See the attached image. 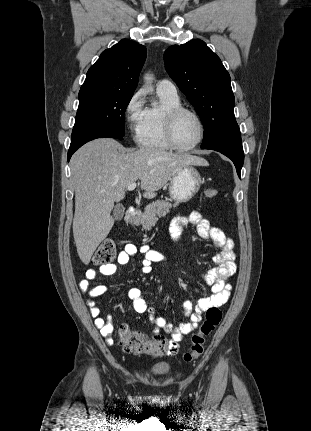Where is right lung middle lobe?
Wrapping results in <instances>:
<instances>
[{
    "label": "right lung middle lobe",
    "mask_w": 311,
    "mask_h": 431,
    "mask_svg": "<svg viewBox=\"0 0 311 431\" xmlns=\"http://www.w3.org/2000/svg\"><path fill=\"white\" fill-rule=\"evenodd\" d=\"M133 94L89 90L79 92V106L72 137L102 129L124 136V113Z\"/></svg>",
    "instance_id": "right-lung-middle-lobe-1"
}]
</instances>
